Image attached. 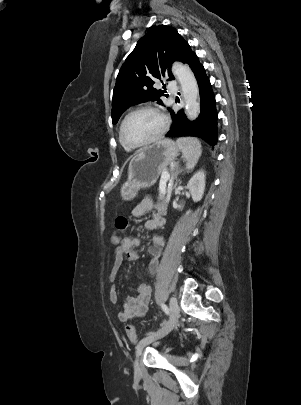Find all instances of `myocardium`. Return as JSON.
I'll return each instance as SVG.
<instances>
[{"label":"myocardium","mask_w":301,"mask_h":405,"mask_svg":"<svg viewBox=\"0 0 301 405\" xmlns=\"http://www.w3.org/2000/svg\"><path fill=\"white\" fill-rule=\"evenodd\" d=\"M142 111H150V112H153V113L157 114L162 120V126H161L159 132L155 136L150 138L149 140H146V141L141 142V143H132L125 137V133H124L125 125H126L128 119L132 115H134L136 113H139V112H142ZM168 127H169V118L167 117V115L162 110H160L159 108H157L155 106H152V105H144V106H140V107H137V108L131 110L124 117V119L122 120L121 125H120L119 137H120L121 142L125 146H127V147H129L131 149H137V148H141V147H145V146H148L150 144H153L156 141H158L159 139H161L165 135V133L167 132Z\"/></svg>","instance_id":"f54148a6"}]
</instances>
